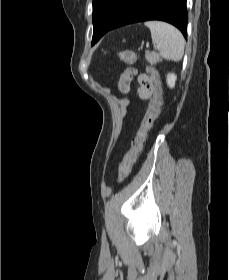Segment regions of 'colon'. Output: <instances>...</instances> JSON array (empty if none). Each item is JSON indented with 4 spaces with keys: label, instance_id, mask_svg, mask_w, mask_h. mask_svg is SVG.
I'll return each instance as SVG.
<instances>
[{
    "label": "colon",
    "instance_id": "colon-1",
    "mask_svg": "<svg viewBox=\"0 0 229 280\" xmlns=\"http://www.w3.org/2000/svg\"><path fill=\"white\" fill-rule=\"evenodd\" d=\"M119 58L121 59V61L128 65V68L122 73L120 78V80L123 79L124 82H119L120 90L122 92H126L128 81L137 74L136 70L132 67L137 61V55L135 51L125 49L120 51ZM138 82L142 88L144 97L146 99H149V110L141 121L135 136L131 140V148L126 154L120 168V182H122L131 174V170L135 163V160L138 154L144 148L153 123L160 114L163 103L159 77L156 72H153L152 77L145 74L139 75Z\"/></svg>",
    "mask_w": 229,
    "mask_h": 280
}]
</instances>
